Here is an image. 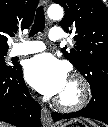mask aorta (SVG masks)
<instances>
[{
	"label": "aorta",
	"mask_w": 108,
	"mask_h": 127,
	"mask_svg": "<svg viewBox=\"0 0 108 127\" xmlns=\"http://www.w3.org/2000/svg\"><path fill=\"white\" fill-rule=\"evenodd\" d=\"M48 16L52 20H60L63 18L64 11L60 5L53 4L48 8Z\"/></svg>",
	"instance_id": "obj_1"
}]
</instances>
